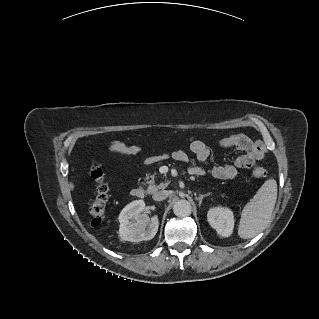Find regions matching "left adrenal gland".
I'll return each instance as SVG.
<instances>
[{"label": "left adrenal gland", "mask_w": 319, "mask_h": 319, "mask_svg": "<svg viewBox=\"0 0 319 319\" xmlns=\"http://www.w3.org/2000/svg\"><path fill=\"white\" fill-rule=\"evenodd\" d=\"M210 195V193H207V194H199V196L198 197H196L195 199L199 202V205L202 203V201H203V199L205 198V197H207V196H209Z\"/></svg>", "instance_id": "a2214340"}]
</instances>
